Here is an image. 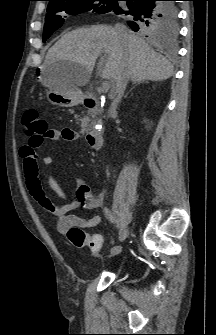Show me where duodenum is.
<instances>
[{"label":"duodenum","instance_id":"obj_1","mask_svg":"<svg viewBox=\"0 0 216 335\" xmlns=\"http://www.w3.org/2000/svg\"><path fill=\"white\" fill-rule=\"evenodd\" d=\"M84 104L91 109H97L99 107V103L96 99L92 97H87L85 99ZM87 142L90 145L91 148L98 150L102 146V135L101 131L98 127L92 128L87 133Z\"/></svg>","mask_w":216,"mask_h":335}]
</instances>
